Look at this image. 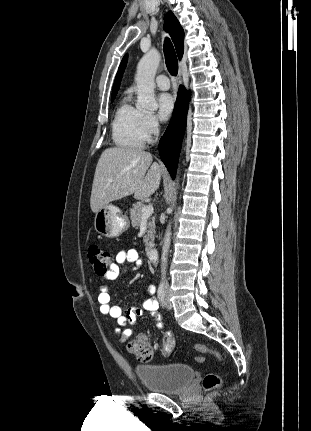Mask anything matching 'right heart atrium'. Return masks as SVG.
Returning <instances> with one entry per match:
<instances>
[{"instance_id": "obj_1", "label": "right heart atrium", "mask_w": 311, "mask_h": 431, "mask_svg": "<svg viewBox=\"0 0 311 431\" xmlns=\"http://www.w3.org/2000/svg\"><path fill=\"white\" fill-rule=\"evenodd\" d=\"M145 122L147 128V140H153L160 133V122L152 113L145 114Z\"/></svg>"}]
</instances>
